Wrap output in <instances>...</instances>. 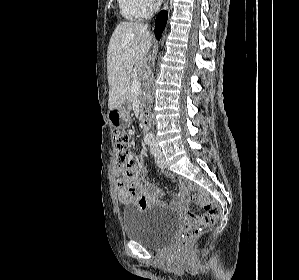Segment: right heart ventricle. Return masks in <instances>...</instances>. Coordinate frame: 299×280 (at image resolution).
<instances>
[{
    "instance_id": "e07e8e85",
    "label": "right heart ventricle",
    "mask_w": 299,
    "mask_h": 280,
    "mask_svg": "<svg viewBox=\"0 0 299 280\" xmlns=\"http://www.w3.org/2000/svg\"><path fill=\"white\" fill-rule=\"evenodd\" d=\"M121 14L128 20H141L147 16V11L140 0H118Z\"/></svg>"
}]
</instances>
